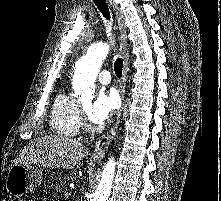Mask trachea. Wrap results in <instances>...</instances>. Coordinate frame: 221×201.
I'll return each instance as SVG.
<instances>
[{"label":"trachea","mask_w":221,"mask_h":201,"mask_svg":"<svg viewBox=\"0 0 221 201\" xmlns=\"http://www.w3.org/2000/svg\"><path fill=\"white\" fill-rule=\"evenodd\" d=\"M93 1L100 10V12L103 14V16L107 20H110V12L105 0H93ZM122 69H123V60L118 57L114 62V71L118 77L122 76Z\"/></svg>","instance_id":"obj_1"}]
</instances>
